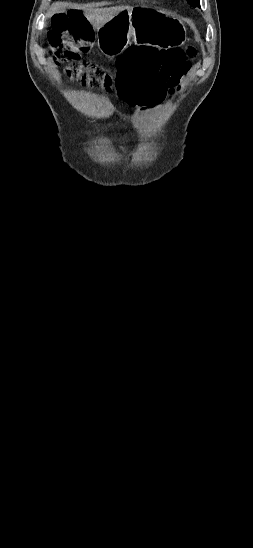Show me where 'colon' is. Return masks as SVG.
Instances as JSON below:
<instances>
[{
	"label": "colon",
	"instance_id": "1",
	"mask_svg": "<svg viewBox=\"0 0 253 548\" xmlns=\"http://www.w3.org/2000/svg\"><path fill=\"white\" fill-rule=\"evenodd\" d=\"M55 36L50 42V54L56 62H66L65 74L74 81L92 89L120 91L129 105H166L168 97H180L181 83L189 70L188 59L197 51H158L151 47L129 48L118 60L117 71L83 60L80 53L93 42V30L81 11L71 10L52 18ZM159 59V60H156Z\"/></svg>",
	"mask_w": 253,
	"mask_h": 548
}]
</instances>
